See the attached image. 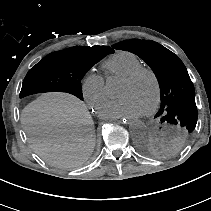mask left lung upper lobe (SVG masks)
I'll use <instances>...</instances> for the list:
<instances>
[{"label": "left lung upper lobe", "mask_w": 211, "mask_h": 211, "mask_svg": "<svg viewBox=\"0 0 211 211\" xmlns=\"http://www.w3.org/2000/svg\"><path fill=\"white\" fill-rule=\"evenodd\" d=\"M132 52L154 71L161 90V106L155 118L169 129L170 144L182 145L191 136L197 123L195 89L183 62L170 50L151 40L131 39L112 46ZM142 151H156L143 146Z\"/></svg>", "instance_id": "5c2ea615"}]
</instances>
